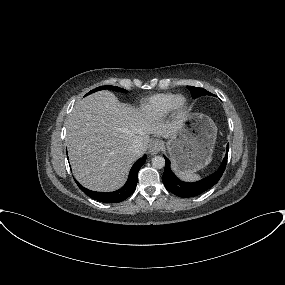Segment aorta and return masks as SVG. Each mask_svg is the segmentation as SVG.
<instances>
[{"mask_svg":"<svg viewBox=\"0 0 285 285\" xmlns=\"http://www.w3.org/2000/svg\"><path fill=\"white\" fill-rule=\"evenodd\" d=\"M152 166L156 169H162L165 166V159L162 156H154L152 158Z\"/></svg>","mask_w":285,"mask_h":285,"instance_id":"obj_1","label":"aorta"}]
</instances>
